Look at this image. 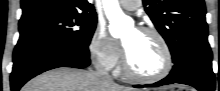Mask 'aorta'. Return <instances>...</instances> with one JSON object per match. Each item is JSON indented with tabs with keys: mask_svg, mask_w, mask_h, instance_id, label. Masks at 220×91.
Segmentation results:
<instances>
[{
	"mask_svg": "<svg viewBox=\"0 0 220 91\" xmlns=\"http://www.w3.org/2000/svg\"><path fill=\"white\" fill-rule=\"evenodd\" d=\"M105 14L110 22L109 31L112 36L120 37L125 28L132 26L131 20L122 12L118 0H103Z\"/></svg>",
	"mask_w": 220,
	"mask_h": 91,
	"instance_id": "762f6f07",
	"label": "aorta"
}]
</instances>
